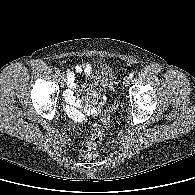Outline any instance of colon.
Here are the masks:
<instances>
[{
  "mask_svg": "<svg viewBox=\"0 0 195 195\" xmlns=\"http://www.w3.org/2000/svg\"><path fill=\"white\" fill-rule=\"evenodd\" d=\"M115 108L108 110L104 118V125L108 126L111 120V114ZM102 141V129L99 125L94 124L92 127V135L87 143L86 148L82 151V155L86 158H95L98 154V147Z\"/></svg>",
  "mask_w": 195,
  "mask_h": 195,
  "instance_id": "1",
  "label": "colon"
}]
</instances>
